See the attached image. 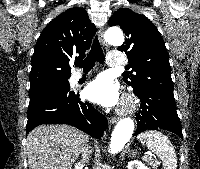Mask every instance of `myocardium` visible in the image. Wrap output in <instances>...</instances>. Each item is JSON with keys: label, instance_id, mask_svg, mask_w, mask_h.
Returning a JSON list of instances; mask_svg holds the SVG:
<instances>
[{"label": "myocardium", "instance_id": "myocardium-1", "mask_svg": "<svg viewBox=\"0 0 200 169\" xmlns=\"http://www.w3.org/2000/svg\"><path fill=\"white\" fill-rule=\"evenodd\" d=\"M136 109H137L136 100L131 95H127L121 106L120 113L125 115L132 114Z\"/></svg>", "mask_w": 200, "mask_h": 169}]
</instances>
